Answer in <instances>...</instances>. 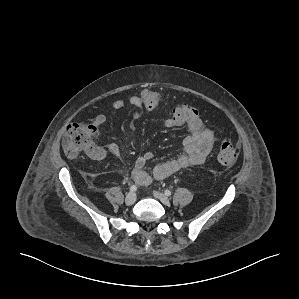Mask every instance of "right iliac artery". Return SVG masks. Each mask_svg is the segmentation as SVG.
Instances as JSON below:
<instances>
[{"label": "right iliac artery", "mask_w": 299, "mask_h": 299, "mask_svg": "<svg viewBox=\"0 0 299 299\" xmlns=\"http://www.w3.org/2000/svg\"><path fill=\"white\" fill-rule=\"evenodd\" d=\"M137 190V186L136 185H132L131 187H130V191L131 192H135Z\"/></svg>", "instance_id": "right-iliac-artery-1"}]
</instances>
